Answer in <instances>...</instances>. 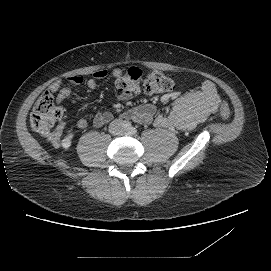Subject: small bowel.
Returning <instances> with one entry per match:
<instances>
[{
	"label": "small bowel",
	"mask_w": 271,
	"mask_h": 271,
	"mask_svg": "<svg viewBox=\"0 0 271 271\" xmlns=\"http://www.w3.org/2000/svg\"><path fill=\"white\" fill-rule=\"evenodd\" d=\"M115 78H120L122 71L119 68L112 70ZM107 76V71L99 70L93 74V78L87 81V87L91 90L95 89L98 81ZM65 82L67 85H65ZM84 79L80 75H72L63 80L54 81L49 89L53 93H57V103H62L71 97L72 86L80 85ZM132 94L129 92H121L119 99L127 101L131 99ZM74 102V100H73ZM220 96L217 92L216 85L212 81H204L200 89L190 92L184 96L174 99L170 110L166 115H156L155 107L145 104L134 109L126 111L122 117L131 118L142 124L153 122L159 128H175L181 131L191 130L200 123L204 122L210 115L218 111ZM112 119L110 112H99L92 120L95 127H101ZM89 125L86 118H81L76 124L77 129H85ZM60 130L53 136V142L58 145L60 139Z\"/></svg>",
	"instance_id": "1"
}]
</instances>
